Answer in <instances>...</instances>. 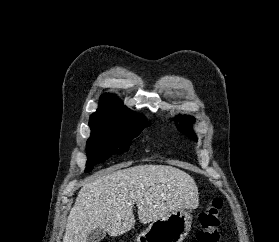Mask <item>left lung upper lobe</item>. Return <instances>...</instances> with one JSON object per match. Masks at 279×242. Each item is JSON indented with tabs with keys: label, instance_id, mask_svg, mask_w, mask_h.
I'll list each match as a JSON object with an SVG mask.
<instances>
[{
	"label": "left lung upper lobe",
	"instance_id": "left-lung-upper-lobe-1",
	"mask_svg": "<svg viewBox=\"0 0 279 242\" xmlns=\"http://www.w3.org/2000/svg\"><path fill=\"white\" fill-rule=\"evenodd\" d=\"M194 121V119L192 117H184L180 120V126H178V129L185 133V134H189V136L193 139L196 140V136L194 134V132L192 131L190 124Z\"/></svg>",
	"mask_w": 279,
	"mask_h": 242
}]
</instances>
